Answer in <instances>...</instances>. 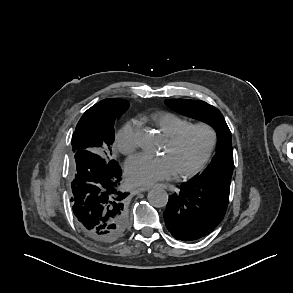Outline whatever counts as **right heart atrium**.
Masks as SVG:
<instances>
[{"instance_id":"right-heart-atrium-1","label":"right heart atrium","mask_w":293,"mask_h":293,"mask_svg":"<svg viewBox=\"0 0 293 293\" xmlns=\"http://www.w3.org/2000/svg\"><path fill=\"white\" fill-rule=\"evenodd\" d=\"M138 122L136 120L127 121L115 135V146L124 155L132 154L137 148L136 132Z\"/></svg>"}]
</instances>
